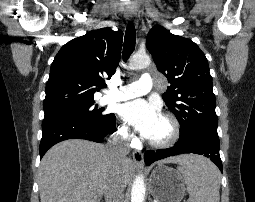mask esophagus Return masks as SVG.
<instances>
[{
  "instance_id": "esophagus-1",
  "label": "esophagus",
  "mask_w": 255,
  "mask_h": 202,
  "mask_svg": "<svg viewBox=\"0 0 255 202\" xmlns=\"http://www.w3.org/2000/svg\"><path fill=\"white\" fill-rule=\"evenodd\" d=\"M126 18L129 22L133 23L134 25H137V19H136L132 10H130V9L126 10ZM132 158H133V162L136 166H138L140 168L143 167L144 159H143V153L141 151L134 150L132 152Z\"/></svg>"
}]
</instances>
